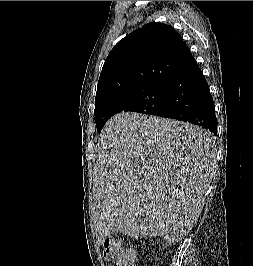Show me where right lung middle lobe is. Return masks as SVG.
I'll list each match as a JSON object with an SVG mask.
<instances>
[{"label":"right lung middle lobe","instance_id":"dd1d6c3e","mask_svg":"<svg viewBox=\"0 0 253 266\" xmlns=\"http://www.w3.org/2000/svg\"><path fill=\"white\" fill-rule=\"evenodd\" d=\"M168 82H153L95 105L94 115L100 133L108 119L120 112L159 115L167 98Z\"/></svg>","mask_w":253,"mask_h":266}]
</instances>
